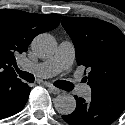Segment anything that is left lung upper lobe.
<instances>
[{
  "mask_svg": "<svg viewBox=\"0 0 125 125\" xmlns=\"http://www.w3.org/2000/svg\"><path fill=\"white\" fill-rule=\"evenodd\" d=\"M78 65L89 68L85 80L92 93L125 96V36L114 25L97 18L63 17Z\"/></svg>",
  "mask_w": 125,
  "mask_h": 125,
  "instance_id": "1",
  "label": "left lung upper lobe"
}]
</instances>
